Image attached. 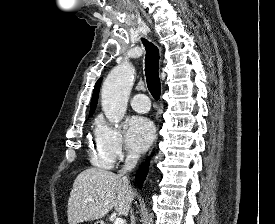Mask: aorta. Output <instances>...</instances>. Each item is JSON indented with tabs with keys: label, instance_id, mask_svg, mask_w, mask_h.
<instances>
[{
	"label": "aorta",
	"instance_id": "obj_1",
	"mask_svg": "<svg viewBox=\"0 0 275 224\" xmlns=\"http://www.w3.org/2000/svg\"><path fill=\"white\" fill-rule=\"evenodd\" d=\"M135 70L129 63L116 66L106 77L101 92V104L106 118L116 126L127 110Z\"/></svg>",
	"mask_w": 275,
	"mask_h": 224
}]
</instances>
